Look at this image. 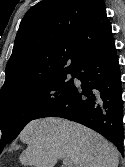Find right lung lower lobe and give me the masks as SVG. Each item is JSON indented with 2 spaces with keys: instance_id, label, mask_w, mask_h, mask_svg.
<instances>
[{
  "instance_id": "1",
  "label": "right lung lower lobe",
  "mask_w": 125,
  "mask_h": 167,
  "mask_svg": "<svg viewBox=\"0 0 125 167\" xmlns=\"http://www.w3.org/2000/svg\"><path fill=\"white\" fill-rule=\"evenodd\" d=\"M73 74L81 85L73 84L32 120L62 117L78 122L100 133L124 155L121 73L111 27L88 48Z\"/></svg>"
}]
</instances>
